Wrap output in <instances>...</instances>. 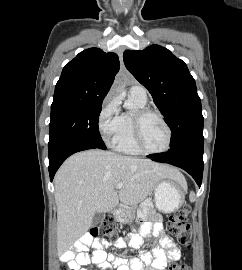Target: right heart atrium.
Wrapping results in <instances>:
<instances>
[{
  "instance_id": "obj_1",
  "label": "right heart atrium",
  "mask_w": 242,
  "mask_h": 270,
  "mask_svg": "<svg viewBox=\"0 0 242 270\" xmlns=\"http://www.w3.org/2000/svg\"><path fill=\"white\" fill-rule=\"evenodd\" d=\"M120 126V110L117 99L109 94L105 99L98 116V129L106 143L113 139Z\"/></svg>"
}]
</instances>
